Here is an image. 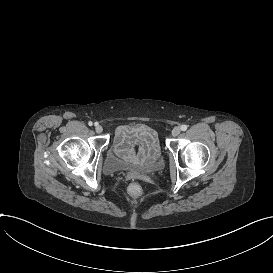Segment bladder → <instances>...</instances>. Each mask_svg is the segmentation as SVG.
I'll return each mask as SVG.
<instances>
[{
	"instance_id": "1",
	"label": "bladder",
	"mask_w": 273,
	"mask_h": 273,
	"mask_svg": "<svg viewBox=\"0 0 273 273\" xmlns=\"http://www.w3.org/2000/svg\"><path fill=\"white\" fill-rule=\"evenodd\" d=\"M163 165V158L161 155H158L153 161L139 167H134L130 163L119 159L110 150L104 160L103 170L106 174H115L134 170L141 173H153L161 170Z\"/></svg>"
}]
</instances>
